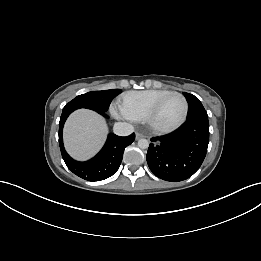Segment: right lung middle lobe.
<instances>
[{"instance_id": "dd1d6c3e", "label": "right lung middle lobe", "mask_w": 261, "mask_h": 261, "mask_svg": "<svg viewBox=\"0 0 261 261\" xmlns=\"http://www.w3.org/2000/svg\"><path fill=\"white\" fill-rule=\"evenodd\" d=\"M120 92V89L91 91L75 97L63 109L87 108L98 113H104L108 110L113 98Z\"/></svg>"}]
</instances>
